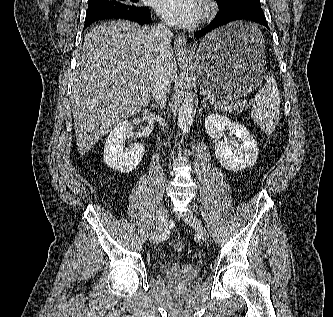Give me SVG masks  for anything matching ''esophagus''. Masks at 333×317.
Instances as JSON below:
<instances>
[{
    "mask_svg": "<svg viewBox=\"0 0 333 317\" xmlns=\"http://www.w3.org/2000/svg\"><path fill=\"white\" fill-rule=\"evenodd\" d=\"M175 54L178 58H182L186 54V40L183 36H178L174 40Z\"/></svg>",
    "mask_w": 333,
    "mask_h": 317,
    "instance_id": "esophagus-1",
    "label": "esophagus"
}]
</instances>
